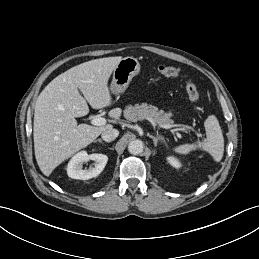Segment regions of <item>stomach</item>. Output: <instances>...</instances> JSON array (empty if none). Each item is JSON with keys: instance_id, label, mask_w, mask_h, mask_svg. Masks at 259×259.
Returning a JSON list of instances; mask_svg holds the SVG:
<instances>
[{"instance_id": "1", "label": "stomach", "mask_w": 259, "mask_h": 259, "mask_svg": "<svg viewBox=\"0 0 259 259\" xmlns=\"http://www.w3.org/2000/svg\"><path fill=\"white\" fill-rule=\"evenodd\" d=\"M140 71V63L134 57H125L117 64L113 70L112 82L110 90L113 94L119 95L123 93L132 78Z\"/></svg>"}]
</instances>
